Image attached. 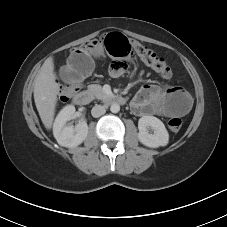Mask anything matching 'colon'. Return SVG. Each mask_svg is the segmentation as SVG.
I'll return each mask as SVG.
<instances>
[{
	"instance_id": "5ec220e1",
	"label": "colon",
	"mask_w": 227,
	"mask_h": 227,
	"mask_svg": "<svg viewBox=\"0 0 227 227\" xmlns=\"http://www.w3.org/2000/svg\"><path fill=\"white\" fill-rule=\"evenodd\" d=\"M103 50L107 51L114 59L113 63L117 65H126L129 58L137 55L148 67L158 72L163 78L170 79L172 76L171 68L163 57L157 55L142 43L121 33L113 32L100 38L89 40L72 49L70 54L74 51H81L86 55ZM80 86L81 83L78 85H67L65 83L60 85L58 91L60 100L67 101L79 91ZM168 127L172 132H178L182 127V120L178 117L171 118L168 121Z\"/></svg>"
}]
</instances>
